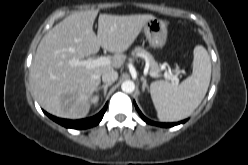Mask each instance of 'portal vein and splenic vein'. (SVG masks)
Here are the masks:
<instances>
[{
  "instance_id": "18ae733b",
  "label": "portal vein and splenic vein",
  "mask_w": 248,
  "mask_h": 165,
  "mask_svg": "<svg viewBox=\"0 0 248 165\" xmlns=\"http://www.w3.org/2000/svg\"><path fill=\"white\" fill-rule=\"evenodd\" d=\"M72 65L75 66H83L87 69H92L99 66H105L111 64V58L106 56H100L96 59H86V60H73L71 62ZM152 77H159L160 75L158 73H149ZM164 77L168 80H171L174 84L178 85L179 79L177 76L172 75L171 73L164 74Z\"/></svg>"
}]
</instances>
